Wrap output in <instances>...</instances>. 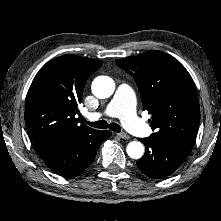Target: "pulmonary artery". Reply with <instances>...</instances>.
Listing matches in <instances>:
<instances>
[{
  "label": "pulmonary artery",
  "instance_id": "e3ab8cb5",
  "mask_svg": "<svg viewBox=\"0 0 221 221\" xmlns=\"http://www.w3.org/2000/svg\"><path fill=\"white\" fill-rule=\"evenodd\" d=\"M102 116L118 117L124 126L133 134L147 136L150 128L137 115L135 111V95L127 84L118 86L117 91L103 113H89L87 119L95 121Z\"/></svg>",
  "mask_w": 221,
  "mask_h": 221
}]
</instances>
